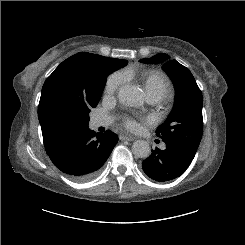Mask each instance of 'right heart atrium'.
Here are the masks:
<instances>
[{
	"label": "right heart atrium",
	"mask_w": 245,
	"mask_h": 245,
	"mask_svg": "<svg viewBox=\"0 0 245 245\" xmlns=\"http://www.w3.org/2000/svg\"><path fill=\"white\" fill-rule=\"evenodd\" d=\"M125 75L121 72L111 74L105 85V93L108 95L114 94L118 88L124 83Z\"/></svg>",
	"instance_id": "obj_1"
}]
</instances>
